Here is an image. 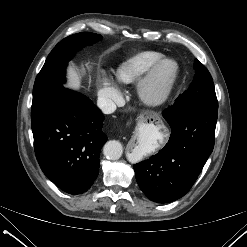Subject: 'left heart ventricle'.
Returning a JSON list of instances; mask_svg holds the SVG:
<instances>
[{"label":"left heart ventricle","mask_w":247,"mask_h":247,"mask_svg":"<svg viewBox=\"0 0 247 247\" xmlns=\"http://www.w3.org/2000/svg\"><path fill=\"white\" fill-rule=\"evenodd\" d=\"M168 66H164L160 69L159 76L160 78H164L168 74Z\"/></svg>","instance_id":"left-heart-ventricle-1"}]
</instances>
